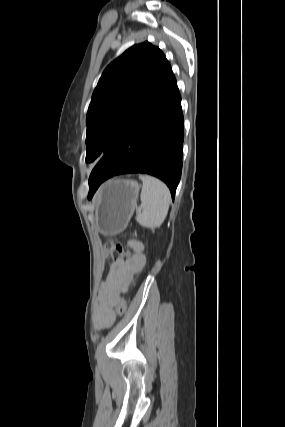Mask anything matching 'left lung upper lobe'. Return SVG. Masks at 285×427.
Masks as SVG:
<instances>
[{
  "mask_svg": "<svg viewBox=\"0 0 285 427\" xmlns=\"http://www.w3.org/2000/svg\"><path fill=\"white\" fill-rule=\"evenodd\" d=\"M169 69L165 55L149 42L132 46L107 66L87 112L86 162L113 148Z\"/></svg>",
  "mask_w": 285,
  "mask_h": 427,
  "instance_id": "5c2ea615",
  "label": "left lung upper lobe"
}]
</instances>
